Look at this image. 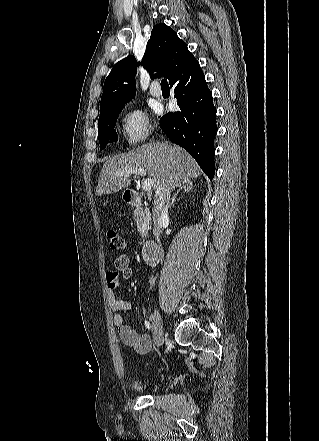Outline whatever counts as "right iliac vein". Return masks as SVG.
Returning <instances> with one entry per match:
<instances>
[{"mask_svg":"<svg viewBox=\"0 0 319 441\" xmlns=\"http://www.w3.org/2000/svg\"><path fill=\"white\" fill-rule=\"evenodd\" d=\"M152 330L154 342L157 346H160L164 340V332L162 318L157 310L152 314Z\"/></svg>","mask_w":319,"mask_h":441,"instance_id":"1","label":"right iliac vein"}]
</instances>
